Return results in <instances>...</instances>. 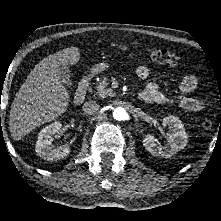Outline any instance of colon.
Returning a JSON list of instances; mask_svg holds the SVG:
<instances>
[{
  "label": "colon",
  "instance_id": "obj_1",
  "mask_svg": "<svg viewBox=\"0 0 221 221\" xmlns=\"http://www.w3.org/2000/svg\"><path fill=\"white\" fill-rule=\"evenodd\" d=\"M148 57L156 63L175 66L179 62V57L166 49H156L150 48L147 50ZM213 126V122L209 119H206L202 122V127L206 130L211 129Z\"/></svg>",
  "mask_w": 221,
  "mask_h": 221
}]
</instances>
